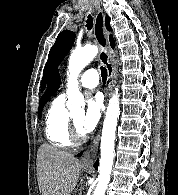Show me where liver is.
Masks as SVG:
<instances>
[{
	"label": "liver",
	"mask_w": 178,
	"mask_h": 195,
	"mask_svg": "<svg viewBox=\"0 0 178 195\" xmlns=\"http://www.w3.org/2000/svg\"><path fill=\"white\" fill-rule=\"evenodd\" d=\"M37 158L41 195H71L80 178L79 161L48 144L40 146Z\"/></svg>",
	"instance_id": "6515ba94"
}]
</instances>
